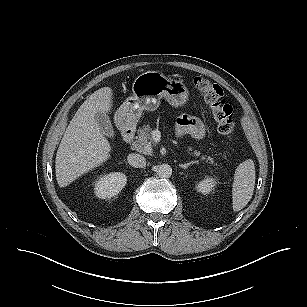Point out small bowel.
<instances>
[{"label":"small bowel","mask_w":307,"mask_h":307,"mask_svg":"<svg viewBox=\"0 0 307 307\" xmlns=\"http://www.w3.org/2000/svg\"><path fill=\"white\" fill-rule=\"evenodd\" d=\"M176 132L179 136L190 135L196 139H202L205 134L203 124L188 116H182L178 119Z\"/></svg>","instance_id":"obj_1"}]
</instances>
